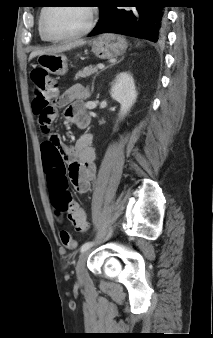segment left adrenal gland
Wrapping results in <instances>:
<instances>
[{
    "mask_svg": "<svg viewBox=\"0 0 213 338\" xmlns=\"http://www.w3.org/2000/svg\"><path fill=\"white\" fill-rule=\"evenodd\" d=\"M95 77H96V75L94 76L93 81H92V87H91V91H92V92H93V90H94V80H95Z\"/></svg>",
    "mask_w": 213,
    "mask_h": 338,
    "instance_id": "left-adrenal-gland-1",
    "label": "left adrenal gland"
}]
</instances>
